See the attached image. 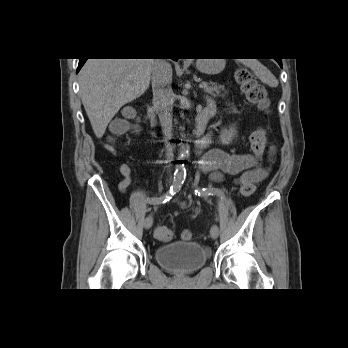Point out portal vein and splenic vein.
<instances>
[{
	"mask_svg": "<svg viewBox=\"0 0 348 348\" xmlns=\"http://www.w3.org/2000/svg\"><path fill=\"white\" fill-rule=\"evenodd\" d=\"M207 86H208V84L206 82H202V83L199 84L200 88H205Z\"/></svg>",
	"mask_w": 348,
	"mask_h": 348,
	"instance_id": "obj_1",
	"label": "portal vein and splenic vein"
}]
</instances>
